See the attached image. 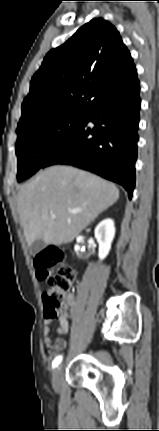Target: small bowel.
Listing matches in <instances>:
<instances>
[{"mask_svg": "<svg viewBox=\"0 0 159 431\" xmlns=\"http://www.w3.org/2000/svg\"><path fill=\"white\" fill-rule=\"evenodd\" d=\"M65 305L70 306L73 303L72 294H67L65 298ZM59 326L57 327V333L59 335H65L69 331V322L67 316L61 313L58 318ZM44 344L49 354L54 355L63 349H65L67 342L64 338H57L55 341L51 338V327L50 320L46 319L43 327Z\"/></svg>", "mask_w": 159, "mask_h": 431, "instance_id": "1", "label": "small bowel"}]
</instances>
